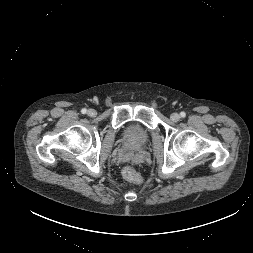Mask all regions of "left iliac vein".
<instances>
[{
    "label": "left iliac vein",
    "instance_id": "1",
    "mask_svg": "<svg viewBox=\"0 0 253 253\" xmlns=\"http://www.w3.org/2000/svg\"><path fill=\"white\" fill-rule=\"evenodd\" d=\"M170 118L172 121L177 122L180 119V115L178 113H172Z\"/></svg>",
    "mask_w": 253,
    "mask_h": 253
}]
</instances>
